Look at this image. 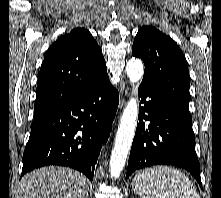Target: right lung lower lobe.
I'll return each instance as SVG.
<instances>
[{
	"label": "right lung lower lobe",
	"mask_w": 221,
	"mask_h": 198,
	"mask_svg": "<svg viewBox=\"0 0 221 198\" xmlns=\"http://www.w3.org/2000/svg\"><path fill=\"white\" fill-rule=\"evenodd\" d=\"M118 103L119 94L107 78L34 117L21 177L42 166L62 165L79 170L92 181Z\"/></svg>",
	"instance_id": "right-lung-lower-lobe-1"
}]
</instances>
